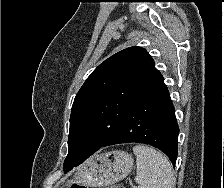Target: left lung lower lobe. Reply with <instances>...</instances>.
<instances>
[{"label":"left lung lower lobe","mask_w":224,"mask_h":188,"mask_svg":"<svg viewBox=\"0 0 224 188\" xmlns=\"http://www.w3.org/2000/svg\"><path fill=\"white\" fill-rule=\"evenodd\" d=\"M178 133L175 109L162 79L133 102L101 147L132 142L148 144L164 152L175 166Z\"/></svg>","instance_id":"left-lung-lower-lobe-1"}]
</instances>
